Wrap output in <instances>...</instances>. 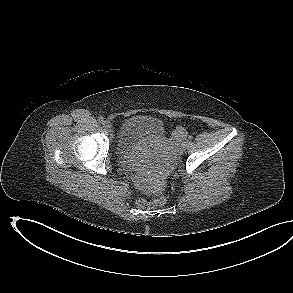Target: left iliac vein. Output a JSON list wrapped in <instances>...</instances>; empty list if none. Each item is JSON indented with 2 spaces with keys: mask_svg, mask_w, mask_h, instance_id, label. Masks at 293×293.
<instances>
[{
  "mask_svg": "<svg viewBox=\"0 0 293 293\" xmlns=\"http://www.w3.org/2000/svg\"><path fill=\"white\" fill-rule=\"evenodd\" d=\"M187 145H188V141L186 139H184L182 142V145H181L182 148L185 149L187 147Z\"/></svg>",
  "mask_w": 293,
  "mask_h": 293,
  "instance_id": "obj_1",
  "label": "left iliac vein"
}]
</instances>
